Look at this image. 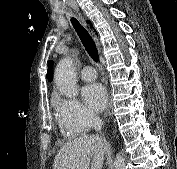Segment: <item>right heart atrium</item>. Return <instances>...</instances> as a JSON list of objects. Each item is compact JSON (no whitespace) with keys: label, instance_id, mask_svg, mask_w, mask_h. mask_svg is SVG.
Segmentation results:
<instances>
[{"label":"right heart atrium","instance_id":"d8ad5b80","mask_svg":"<svg viewBox=\"0 0 177 169\" xmlns=\"http://www.w3.org/2000/svg\"><path fill=\"white\" fill-rule=\"evenodd\" d=\"M55 108L60 125L72 136L87 131L97 120L92 112L73 98L58 97Z\"/></svg>","mask_w":177,"mask_h":169}]
</instances>
